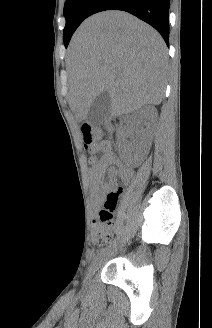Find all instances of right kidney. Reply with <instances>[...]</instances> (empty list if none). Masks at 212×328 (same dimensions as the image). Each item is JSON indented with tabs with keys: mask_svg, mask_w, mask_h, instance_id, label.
Wrapping results in <instances>:
<instances>
[{
	"mask_svg": "<svg viewBox=\"0 0 212 328\" xmlns=\"http://www.w3.org/2000/svg\"><path fill=\"white\" fill-rule=\"evenodd\" d=\"M158 113L154 106H145L139 111L127 117L126 126L127 130L124 134V138L130 134V129L135 126H139L137 134L140 135V139L134 141L139 142L148 141L153 135L154 125L157 121Z\"/></svg>",
	"mask_w": 212,
	"mask_h": 328,
	"instance_id": "ca27d5eb",
	"label": "right kidney"
}]
</instances>
